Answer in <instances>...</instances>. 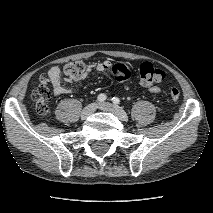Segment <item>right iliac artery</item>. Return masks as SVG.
Listing matches in <instances>:
<instances>
[{"instance_id": "obj_1", "label": "right iliac artery", "mask_w": 213, "mask_h": 213, "mask_svg": "<svg viewBox=\"0 0 213 213\" xmlns=\"http://www.w3.org/2000/svg\"><path fill=\"white\" fill-rule=\"evenodd\" d=\"M106 95L105 94H99L97 97L98 102H104L106 100Z\"/></svg>"}]
</instances>
